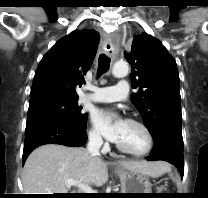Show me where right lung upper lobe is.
<instances>
[{"mask_svg":"<svg viewBox=\"0 0 208 198\" xmlns=\"http://www.w3.org/2000/svg\"><path fill=\"white\" fill-rule=\"evenodd\" d=\"M94 30H74L42 58L33 80L29 107L54 100L79 99L75 90L84 82L98 46Z\"/></svg>","mask_w":208,"mask_h":198,"instance_id":"right-lung-upper-lobe-1","label":"right lung upper lobe"}]
</instances>
